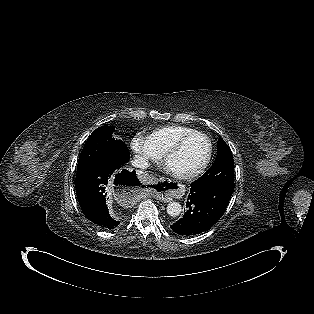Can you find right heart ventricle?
<instances>
[{
	"instance_id": "1",
	"label": "right heart ventricle",
	"mask_w": 314,
	"mask_h": 314,
	"mask_svg": "<svg viewBox=\"0 0 314 314\" xmlns=\"http://www.w3.org/2000/svg\"><path fill=\"white\" fill-rule=\"evenodd\" d=\"M194 131L197 130L187 126L171 125L152 131L146 139L151 149L163 156L177 140Z\"/></svg>"
}]
</instances>
